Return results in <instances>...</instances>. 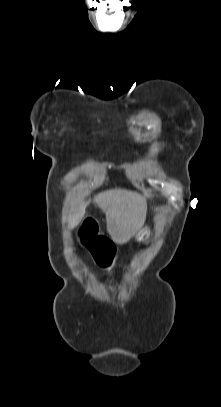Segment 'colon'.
Returning a JSON list of instances; mask_svg holds the SVG:
<instances>
[{
    "mask_svg": "<svg viewBox=\"0 0 221 407\" xmlns=\"http://www.w3.org/2000/svg\"><path fill=\"white\" fill-rule=\"evenodd\" d=\"M84 230H75V239H86L95 253L96 262L102 267H108L114 258V247L110 240L97 237L96 216H85Z\"/></svg>",
    "mask_w": 221,
    "mask_h": 407,
    "instance_id": "1",
    "label": "colon"
}]
</instances>
